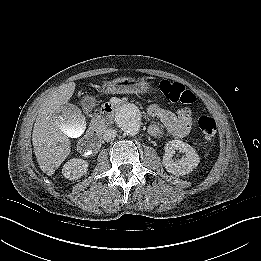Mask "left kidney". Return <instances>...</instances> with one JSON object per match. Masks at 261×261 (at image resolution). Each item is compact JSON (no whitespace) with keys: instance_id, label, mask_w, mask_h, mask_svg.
Segmentation results:
<instances>
[{"instance_id":"5707ae66","label":"left kidney","mask_w":261,"mask_h":261,"mask_svg":"<svg viewBox=\"0 0 261 261\" xmlns=\"http://www.w3.org/2000/svg\"><path fill=\"white\" fill-rule=\"evenodd\" d=\"M165 154L162 164L165 169L174 175H186L196 168L200 162L199 155L189 144L181 140L168 141L164 147ZM175 151L185 154L180 160H174Z\"/></svg>"}]
</instances>
